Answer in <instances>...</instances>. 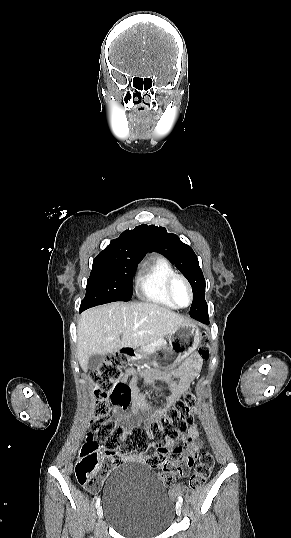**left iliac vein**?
Returning <instances> with one entry per match:
<instances>
[{
    "label": "left iliac vein",
    "mask_w": 291,
    "mask_h": 538,
    "mask_svg": "<svg viewBox=\"0 0 291 538\" xmlns=\"http://www.w3.org/2000/svg\"><path fill=\"white\" fill-rule=\"evenodd\" d=\"M181 512H182V504L180 502H177V504H176V513H177L178 516H180Z\"/></svg>",
    "instance_id": "obj_1"
}]
</instances>
